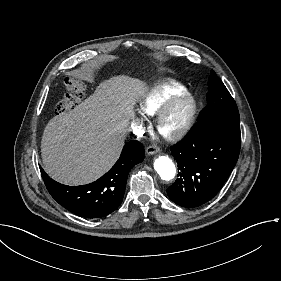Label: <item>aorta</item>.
<instances>
[{"label": "aorta", "mask_w": 281, "mask_h": 281, "mask_svg": "<svg viewBox=\"0 0 281 281\" xmlns=\"http://www.w3.org/2000/svg\"><path fill=\"white\" fill-rule=\"evenodd\" d=\"M154 168L162 180L170 181L175 177L176 168L168 156H159L154 162Z\"/></svg>", "instance_id": "1"}]
</instances>
